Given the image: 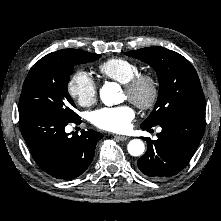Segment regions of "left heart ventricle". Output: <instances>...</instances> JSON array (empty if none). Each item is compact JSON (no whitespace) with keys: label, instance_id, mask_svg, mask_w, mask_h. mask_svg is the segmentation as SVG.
Segmentation results:
<instances>
[{"label":"left heart ventricle","instance_id":"1","mask_svg":"<svg viewBox=\"0 0 221 221\" xmlns=\"http://www.w3.org/2000/svg\"><path fill=\"white\" fill-rule=\"evenodd\" d=\"M146 92L144 91L143 92V94H145ZM124 97L126 98V99H128V95H127V93L124 91Z\"/></svg>","mask_w":221,"mask_h":221}]
</instances>
